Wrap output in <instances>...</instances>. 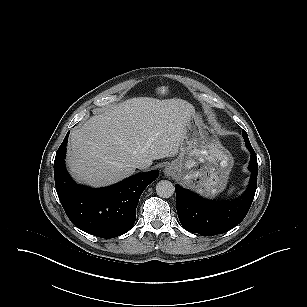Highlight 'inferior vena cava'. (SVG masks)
Returning a JSON list of instances; mask_svg holds the SVG:
<instances>
[{"instance_id": "inferior-vena-cava-1", "label": "inferior vena cava", "mask_w": 307, "mask_h": 307, "mask_svg": "<svg viewBox=\"0 0 307 307\" xmlns=\"http://www.w3.org/2000/svg\"><path fill=\"white\" fill-rule=\"evenodd\" d=\"M134 166L136 168H139V169H145V168L149 167V165L146 162L142 161V160L136 161Z\"/></svg>"}]
</instances>
